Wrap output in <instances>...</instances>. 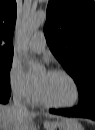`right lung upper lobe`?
I'll return each instance as SVG.
<instances>
[{"mask_svg": "<svg viewBox=\"0 0 95 130\" xmlns=\"http://www.w3.org/2000/svg\"><path fill=\"white\" fill-rule=\"evenodd\" d=\"M16 0H0V58H13Z\"/></svg>", "mask_w": 95, "mask_h": 130, "instance_id": "cb5924a9", "label": "right lung upper lobe"}]
</instances>
